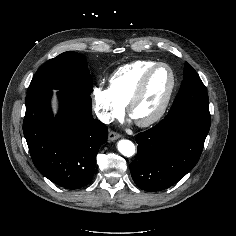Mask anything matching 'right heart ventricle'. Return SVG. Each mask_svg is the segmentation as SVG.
Instances as JSON below:
<instances>
[{
    "instance_id": "obj_1",
    "label": "right heart ventricle",
    "mask_w": 236,
    "mask_h": 236,
    "mask_svg": "<svg viewBox=\"0 0 236 236\" xmlns=\"http://www.w3.org/2000/svg\"><path fill=\"white\" fill-rule=\"evenodd\" d=\"M156 63L138 60L120 67L109 79V90L115 99L125 106L143 74Z\"/></svg>"
}]
</instances>
